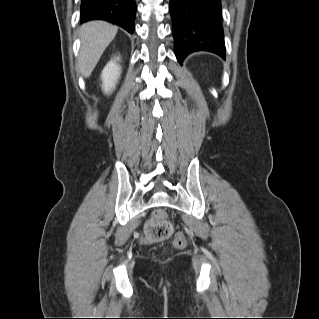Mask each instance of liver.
I'll return each instance as SVG.
<instances>
[{
    "label": "liver",
    "mask_w": 319,
    "mask_h": 319,
    "mask_svg": "<svg viewBox=\"0 0 319 319\" xmlns=\"http://www.w3.org/2000/svg\"><path fill=\"white\" fill-rule=\"evenodd\" d=\"M117 31L116 26L104 21H91L81 26L78 68L85 78L91 75L103 52L115 38Z\"/></svg>",
    "instance_id": "obj_1"
}]
</instances>
